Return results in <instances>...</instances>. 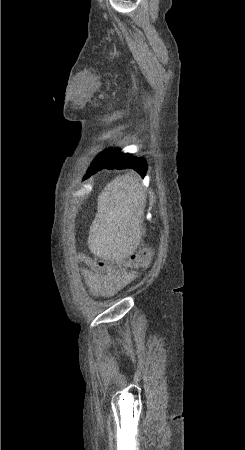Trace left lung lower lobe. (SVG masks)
Wrapping results in <instances>:
<instances>
[{"label": "left lung lower lobe", "instance_id": "left-lung-lower-lobe-1", "mask_svg": "<svg viewBox=\"0 0 245 450\" xmlns=\"http://www.w3.org/2000/svg\"><path fill=\"white\" fill-rule=\"evenodd\" d=\"M107 169H125L132 168L137 171L142 177L145 176L147 165L143 158H137L133 154H123L120 150H106L101 152L95 159L91 167L88 168L86 176L87 179L97 171Z\"/></svg>", "mask_w": 245, "mask_h": 450}]
</instances>
